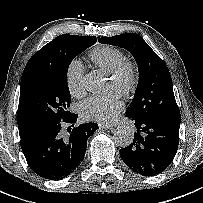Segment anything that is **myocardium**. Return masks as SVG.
<instances>
[{"instance_id":"myocardium-1","label":"myocardium","mask_w":203,"mask_h":203,"mask_svg":"<svg viewBox=\"0 0 203 203\" xmlns=\"http://www.w3.org/2000/svg\"><path fill=\"white\" fill-rule=\"evenodd\" d=\"M109 75L113 77H118L120 75L127 76V83L124 87V93H131L137 86L138 83V67L137 65L128 59H124L119 62L110 72Z\"/></svg>"}]
</instances>
